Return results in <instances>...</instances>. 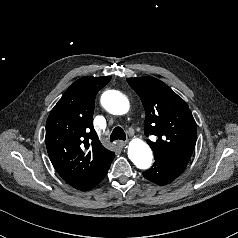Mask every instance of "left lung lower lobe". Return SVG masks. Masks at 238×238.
Instances as JSON below:
<instances>
[{"instance_id":"1","label":"left lung lower lobe","mask_w":238,"mask_h":238,"mask_svg":"<svg viewBox=\"0 0 238 238\" xmlns=\"http://www.w3.org/2000/svg\"><path fill=\"white\" fill-rule=\"evenodd\" d=\"M185 168V164L155 159L153 166L143 172V176L158 185H166L179 177Z\"/></svg>"}]
</instances>
